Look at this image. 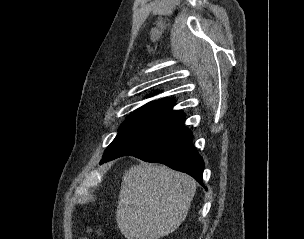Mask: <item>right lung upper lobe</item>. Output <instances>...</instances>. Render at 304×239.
Wrapping results in <instances>:
<instances>
[{
	"mask_svg": "<svg viewBox=\"0 0 304 239\" xmlns=\"http://www.w3.org/2000/svg\"><path fill=\"white\" fill-rule=\"evenodd\" d=\"M175 101L170 98L151 101L144 106L136 109L133 113H143L155 117L167 119L168 121H176L185 117L181 111H174L172 108Z\"/></svg>",
	"mask_w": 304,
	"mask_h": 239,
	"instance_id": "obj_1",
	"label": "right lung upper lobe"
}]
</instances>
